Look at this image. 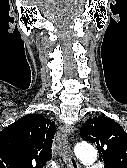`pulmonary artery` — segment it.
<instances>
[{"mask_svg":"<svg viewBox=\"0 0 127 168\" xmlns=\"http://www.w3.org/2000/svg\"><path fill=\"white\" fill-rule=\"evenodd\" d=\"M87 168H100V166L96 164H89Z\"/></svg>","mask_w":127,"mask_h":168,"instance_id":"obj_1","label":"pulmonary artery"}]
</instances>
